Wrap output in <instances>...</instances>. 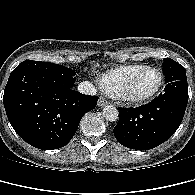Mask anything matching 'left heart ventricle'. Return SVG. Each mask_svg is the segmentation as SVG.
Wrapping results in <instances>:
<instances>
[{
	"label": "left heart ventricle",
	"mask_w": 195,
	"mask_h": 195,
	"mask_svg": "<svg viewBox=\"0 0 195 195\" xmlns=\"http://www.w3.org/2000/svg\"><path fill=\"white\" fill-rule=\"evenodd\" d=\"M159 82V75L155 71L143 72L134 82L132 92L134 95H145L153 91Z\"/></svg>",
	"instance_id": "1"
}]
</instances>
